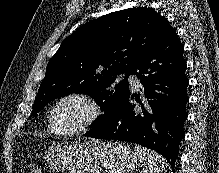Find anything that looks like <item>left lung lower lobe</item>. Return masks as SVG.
I'll use <instances>...</instances> for the list:
<instances>
[{"mask_svg":"<svg viewBox=\"0 0 219 173\" xmlns=\"http://www.w3.org/2000/svg\"><path fill=\"white\" fill-rule=\"evenodd\" d=\"M183 45L175 30L145 53L132 70L144 87L147 100L131 104L130 93L115 107L111 117L85 136L140 144L162 154L174 171L179 143L184 138L186 62Z\"/></svg>","mask_w":219,"mask_h":173,"instance_id":"1","label":"left lung lower lobe"}]
</instances>
